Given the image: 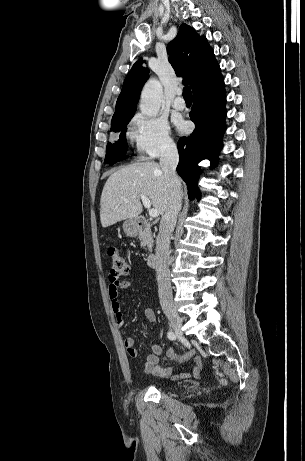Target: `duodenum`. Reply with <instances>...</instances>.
<instances>
[{
  "mask_svg": "<svg viewBox=\"0 0 305 461\" xmlns=\"http://www.w3.org/2000/svg\"><path fill=\"white\" fill-rule=\"evenodd\" d=\"M137 235L141 238L146 237L150 232V224L143 218H138L134 222ZM146 264L148 267H154L156 264V256L151 253L146 258Z\"/></svg>",
  "mask_w": 305,
  "mask_h": 461,
  "instance_id": "1",
  "label": "duodenum"
}]
</instances>
